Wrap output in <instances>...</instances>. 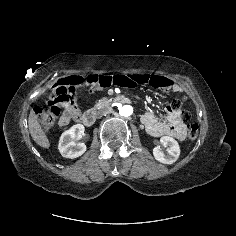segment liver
Listing matches in <instances>:
<instances>
[{
  "mask_svg": "<svg viewBox=\"0 0 236 236\" xmlns=\"http://www.w3.org/2000/svg\"><path fill=\"white\" fill-rule=\"evenodd\" d=\"M28 125H29V131L31 134L32 139L41 147L43 148H49L50 143L43 132L39 122L38 117L35 114L33 110L30 111L29 118H28Z\"/></svg>",
  "mask_w": 236,
  "mask_h": 236,
  "instance_id": "liver-1",
  "label": "liver"
}]
</instances>
